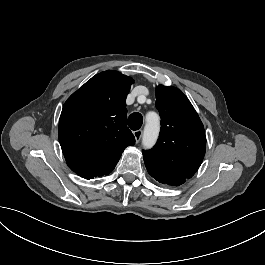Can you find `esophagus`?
I'll return each instance as SVG.
<instances>
[{
    "mask_svg": "<svg viewBox=\"0 0 265 265\" xmlns=\"http://www.w3.org/2000/svg\"><path fill=\"white\" fill-rule=\"evenodd\" d=\"M142 134H143L142 130H136L133 132V135H134L137 143L141 140Z\"/></svg>",
    "mask_w": 265,
    "mask_h": 265,
    "instance_id": "34e87169",
    "label": "esophagus"
}]
</instances>
